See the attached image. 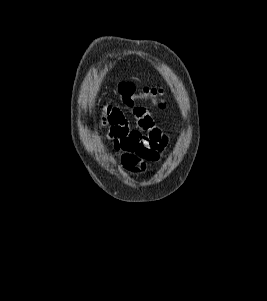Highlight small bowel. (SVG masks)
Segmentation results:
<instances>
[{"label": "small bowel", "instance_id": "c3829d8e", "mask_svg": "<svg viewBox=\"0 0 267 301\" xmlns=\"http://www.w3.org/2000/svg\"><path fill=\"white\" fill-rule=\"evenodd\" d=\"M137 122L131 128L123 111L115 106H106L101 115V125L108 127V136L113 141L123 169L130 173L146 170L148 163H157L168 144L167 135L154 123L147 109L133 110Z\"/></svg>", "mask_w": 267, "mask_h": 301}]
</instances>
